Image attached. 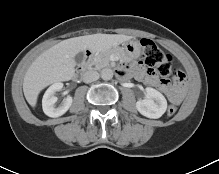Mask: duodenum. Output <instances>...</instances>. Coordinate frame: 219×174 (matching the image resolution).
<instances>
[{
    "label": "duodenum",
    "mask_w": 219,
    "mask_h": 174,
    "mask_svg": "<svg viewBox=\"0 0 219 174\" xmlns=\"http://www.w3.org/2000/svg\"><path fill=\"white\" fill-rule=\"evenodd\" d=\"M92 56H93V51L87 50L86 53H85L83 64L79 68H77V70H76V75L77 76L82 74L83 72H85L86 67H87L90 59L92 58Z\"/></svg>",
    "instance_id": "1"
}]
</instances>
